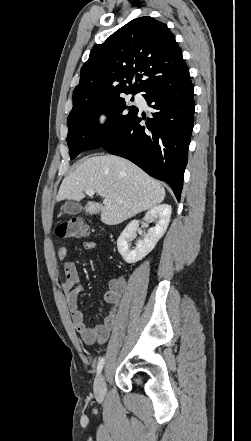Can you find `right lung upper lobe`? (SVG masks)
<instances>
[{
    "mask_svg": "<svg viewBox=\"0 0 251 441\" xmlns=\"http://www.w3.org/2000/svg\"><path fill=\"white\" fill-rule=\"evenodd\" d=\"M185 65L166 24L149 16L134 19L93 47L81 68L73 103L135 94Z\"/></svg>",
    "mask_w": 251,
    "mask_h": 441,
    "instance_id": "obj_1",
    "label": "right lung upper lobe"
}]
</instances>
